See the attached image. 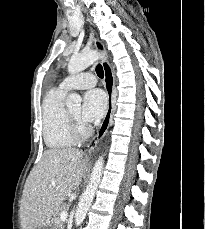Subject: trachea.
<instances>
[{"label": "trachea", "instance_id": "trachea-1", "mask_svg": "<svg viewBox=\"0 0 205 229\" xmlns=\"http://www.w3.org/2000/svg\"><path fill=\"white\" fill-rule=\"evenodd\" d=\"M96 73H97L98 77H100L101 79L104 77V71H103V67L101 64H98L96 66Z\"/></svg>", "mask_w": 205, "mask_h": 229}]
</instances>
